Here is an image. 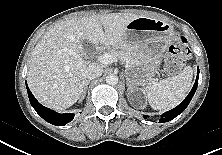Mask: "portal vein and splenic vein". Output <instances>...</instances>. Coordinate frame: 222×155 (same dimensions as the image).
<instances>
[{
	"label": "portal vein and splenic vein",
	"mask_w": 222,
	"mask_h": 155,
	"mask_svg": "<svg viewBox=\"0 0 222 155\" xmlns=\"http://www.w3.org/2000/svg\"><path fill=\"white\" fill-rule=\"evenodd\" d=\"M116 59L109 53L102 54L98 57V61L102 64H111Z\"/></svg>",
	"instance_id": "obj_1"
}]
</instances>
